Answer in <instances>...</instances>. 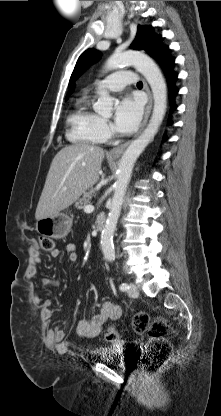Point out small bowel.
<instances>
[{
	"mask_svg": "<svg viewBox=\"0 0 221 416\" xmlns=\"http://www.w3.org/2000/svg\"><path fill=\"white\" fill-rule=\"evenodd\" d=\"M66 252L68 256V261L71 263H75L78 260V253H77V246L74 243H69L66 245ZM60 255V251L58 249H54L51 251L52 257H58ZM42 258L38 250L34 249L31 252V260L30 265L27 270V275L29 278H33L37 272L38 266L41 264ZM42 285H53L57 286L58 281L52 278H42L41 279ZM35 303L41 306V313L43 318L46 321H49L53 316V309H52V302L49 299H42L40 296H35ZM121 307L115 304L112 301H104L101 305L100 312L93 317L91 320H80L76 327V332L78 336L84 338H92L97 336L103 326L108 321L117 320L121 316ZM53 338L56 342H62L65 337V333L60 330L56 329L53 331Z\"/></svg>",
	"mask_w": 221,
	"mask_h": 416,
	"instance_id": "small-bowel-1",
	"label": "small bowel"
}]
</instances>
